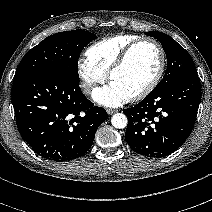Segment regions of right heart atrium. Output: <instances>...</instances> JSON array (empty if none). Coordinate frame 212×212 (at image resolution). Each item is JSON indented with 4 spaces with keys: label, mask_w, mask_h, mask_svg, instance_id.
<instances>
[{
    "label": "right heart atrium",
    "mask_w": 212,
    "mask_h": 212,
    "mask_svg": "<svg viewBox=\"0 0 212 212\" xmlns=\"http://www.w3.org/2000/svg\"><path fill=\"white\" fill-rule=\"evenodd\" d=\"M77 74L84 93L90 94L94 88L106 80V74L94 66L87 58L77 61Z\"/></svg>",
    "instance_id": "d8ad5b80"
}]
</instances>
